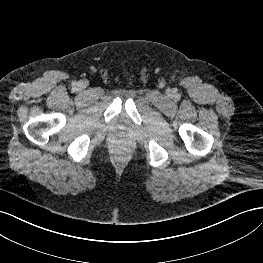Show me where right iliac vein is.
Listing matches in <instances>:
<instances>
[{
	"mask_svg": "<svg viewBox=\"0 0 263 263\" xmlns=\"http://www.w3.org/2000/svg\"><path fill=\"white\" fill-rule=\"evenodd\" d=\"M87 86V83H86V81H83V82H80L79 84H78V87L79 88H85Z\"/></svg>",
	"mask_w": 263,
	"mask_h": 263,
	"instance_id": "right-iliac-vein-1",
	"label": "right iliac vein"
}]
</instances>
